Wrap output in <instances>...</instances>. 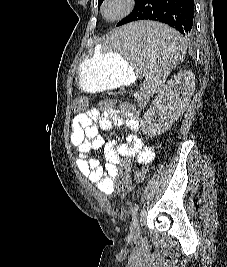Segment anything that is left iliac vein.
Returning a JSON list of instances; mask_svg holds the SVG:
<instances>
[{
	"label": "left iliac vein",
	"mask_w": 227,
	"mask_h": 267,
	"mask_svg": "<svg viewBox=\"0 0 227 267\" xmlns=\"http://www.w3.org/2000/svg\"><path fill=\"white\" fill-rule=\"evenodd\" d=\"M140 234V224H139V218L138 217H134L131 227H130V235L131 237H138Z\"/></svg>",
	"instance_id": "obj_1"
}]
</instances>
